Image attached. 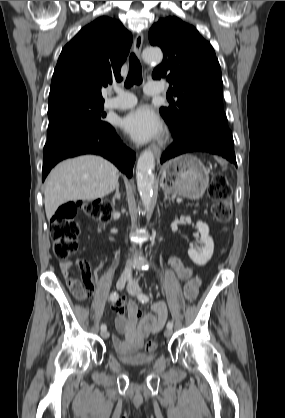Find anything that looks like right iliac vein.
Instances as JSON below:
<instances>
[{"instance_id":"1","label":"right iliac vein","mask_w":285,"mask_h":418,"mask_svg":"<svg viewBox=\"0 0 285 418\" xmlns=\"http://www.w3.org/2000/svg\"><path fill=\"white\" fill-rule=\"evenodd\" d=\"M127 279H128V277H127L126 275H122V276L118 279V281H117V283H116V287H117V289H119V290L123 289V288H124V286H125V284H126V282H127ZM101 336H102L104 339H107V338L109 337V332H108L107 330H105V331H101Z\"/></svg>"}]
</instances>
